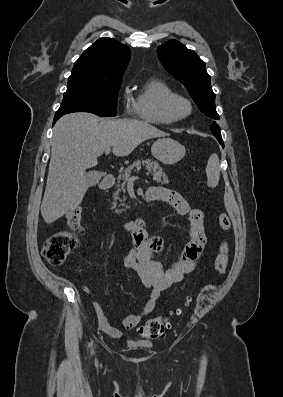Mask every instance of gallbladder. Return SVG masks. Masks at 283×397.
I'll return each instance as SVG.
<instances>
[{
  "label": "gallbladder",
  "instance_id": "1",
  "mask_svg": "<svg viewBox=\"0 0 283 397\" xmlns=\"http://www.w3.org/2000/svg\"><path fill=\"white\" fill-rule=\"evenodd\" d=\"M87 177H88L90 186H94L99 182L101 175H100V173H97V172H89V173H87Z\"/></svg>",
  "mask_w": 283,
  "mask_h": 397
}]
</instances>
